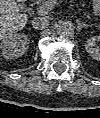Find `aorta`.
Here are the masks:
<instances>
[{"label":"aorta","mask_w":100,"mask_h":118,"mask_svg":"<svg viewBox=\"0 0 100 118\" xmlns=\"http://www.w3.org/2000/svg\"><path fill=\"white\" fill-rule=\"evenodd\" d=\"M57 33L61 36H71L74 34V25L70 21H59L56 26Z\"/></svg>","instance_id":"obj_1"}]
</instances>
